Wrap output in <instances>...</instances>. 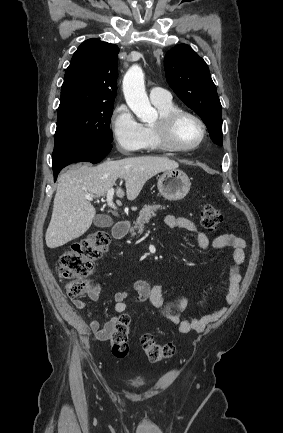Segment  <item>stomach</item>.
<instances>
[{
  "label": "stomach",
  "instance_id": "obj_1",
  "mask_svg": "<svg viewBox=\"0 0 283 433\" xmlns=\"http://www.w3.org/2000/svg\"><path fill=\"white\" fill-rule=\"evenodd\" d=\"M190 178L183 170H165L158 178L157 186L167 200H181L190 190Z\"/></svg>",
  "mask_w": 283,
  "mask_h": 433
}]
</instances>
